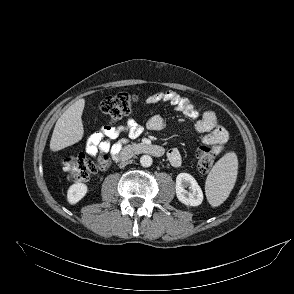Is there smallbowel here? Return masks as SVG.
Wrapping results in <instances>:
<instances>
[{
  "instance_id": "small-bowel-1",
  "label": "small bowel",
  "mask_w": 294,
  "mask_h": 294,
  "mask_svg": "<svg viewBox=\"0 0 294 294\" xmlns=\"http://www.w3.org/2000/svg\"><path fill=\"white\" fill-rule=\"evenodd\" d=\"M145 105L153 106L158 103H169L175 110L182 112L186 117L195 121L194 129L203 135V142L213 148L215 154H220L228 140V132L222 126L216 114L206 108L192 103L174 91H161L148 96L144 100ZM166 127L165 120L160 115L149 117L145 125H141L135 119L129 118L122 126H115L110 122L94 132L87 140L85 150L88 154L97 157H106L110 154L114 161L118 160L125 139L116 142L120 134L125 133L131 139L139 137L145 129L150 131H161ZM169 163L174 167L182 164V156L179 150L170 149L167 153Z\"/></svg>"
}]
</instances>
